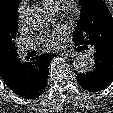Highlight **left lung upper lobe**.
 Wrapping results in <instances>:
<instances>
[{"label": "left lung upper lobe", "instance_id": "5c2ea615", "mask_svg": "<svg viewBox=\"0 0 113 113\" xmlns=\"http://www.w3.org/2000/svg\"><path fill=\"white\" fill-rule=\"evenodd\" d=\"M81 2V18L75 28L73 40L86 42L106 41L112 44L113 18L103 0H79Z\"/></svg>", "mask_w": 113, "mask_h": 113}]
</instances>
